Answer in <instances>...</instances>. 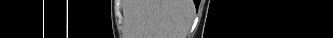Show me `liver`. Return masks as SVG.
<instances>
[{
	"label": "liver",
	"mask_w": 333,
	"mask_h": 38,
	"mask_svg": "<svg viewBox=\"0 0 333 38\" xmlns=\"http://www.w3.org/2000/svg\"><path fill=\"white\" fill-rule=\"evenodd\" d=\"M193 13L192 0H137L134 34L137 38H186Z\"/></svg>",
	"instance_id": "liver-1"
}]
</instances>
